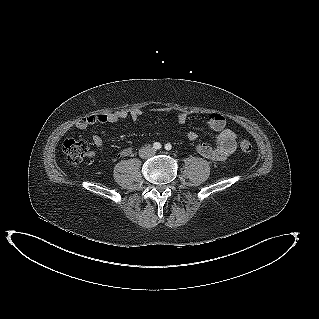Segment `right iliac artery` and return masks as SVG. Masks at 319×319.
Wrapping results in <instances>:
<instances>
[{
	"label": "right iliac artery",
	"mask_w": 319,
	"mask_h": 319,
	"mask_svg": "<svg viewBox=\"0 0 319 319\" xmlns=\"http://www.w3.org/2000/svg\"><path fill=\"white\" fill-rule=\"evenodd\" d=\"M153 148L156 149V150H158V149L161 148V144H160L159 142H155V143L153 144Z\"/></svg>",
	"instance_id": "1"
}]
</instances>
